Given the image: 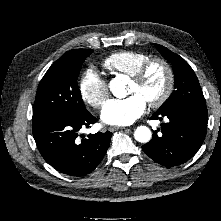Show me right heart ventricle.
<instances>
[{
  "label": "right heart ventricle",
  "instance_id": "right-heart-ventricle-1",
  "mask_svg": "<svg viewBox=\"0 0 221 221\" xmlns=\"http://www.w3.org/2000/svg\"><path fill=\"white\" fill-rule=\"evenodd\" d=\"M149 58L143 52L123 50L106 57L103 61V66L110 72L132 76Z\"/></svg>",
  "mask_w": 221,
  "mask_h": 221
}]
</instances>
